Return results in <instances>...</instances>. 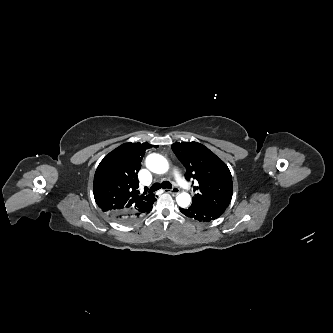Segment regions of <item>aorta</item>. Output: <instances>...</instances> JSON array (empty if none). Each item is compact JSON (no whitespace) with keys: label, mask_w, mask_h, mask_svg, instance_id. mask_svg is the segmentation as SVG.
<instances>
[{"label":"aorta","mask_w":333,"mask_h":333,"mask_svg":"<svg viewBox=\"0 0 333 333\" xmlns=\"http://www.w3.org/2000/svg\"><path fill=\"white\" fill-rule=\"evenodd\" d=\"M146 167L157 174L166 173L169 169L168 161L160 154L152 153L146 158ZM177 204L182 207H188L191 202V197L188 193H181L176 197Z\"/></svg>","instance_id":"aorta-1"}]
</instances>
